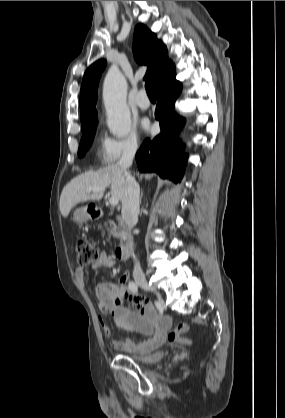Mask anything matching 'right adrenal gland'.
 Returning a JSON list of instances; mask_svg holds the SVG:
<instances>
[{
    "instance_id": "1",
    "label": "right adrenal gland",
    "mask_w": 285,
    "mask_h": 418,
    "mask_svg": "<svg viewBox=\"0 0 285 418\" xmlns=\"http://www.w3.org/2000/svg\"><path fill=\"white\" fill-rule=\"evenodd\" d=\"M142 196H143V192L141 190L140 203H141Z\"/></svg>"
}]
</instances>
